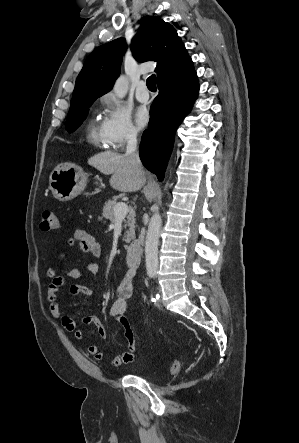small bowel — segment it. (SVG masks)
I'll list each match as a JSON object with an SVG mask.
<instances>
[{"mask_svg": "<svg viewBox=\"0 0 299 443\" xmlns=\"http://www.w3.org/2000/svg\"><path fill=\"white\" fill-rule=\"evenodd\" d=\"M65 244L70 247L77 246L83 253L91 254L94 258H98L101 255V247L95 237L81 228H76L72 235L66 240ZM58 257L61 259L64 257V255L59 252ZM87 270L93 275L98 274V266L94 261L88 262ZM136 272L137 268L128 265V270L118 284L116 299L110 308L111 318L122 326L125 338L128 342L127 350L123 354L110 360L111 365L115 367L131 363L135 359L136 344L131 341L127 335L125 320L127 319L126 313L128 308V300L133 294V284ZM47 276L51 279L47 291V299L49 302V310L51 315L61 322L65 330L73 332L77 341L84 342L86 338L84 330L77 327L76 322L71 316L61 311L60 304L57 300L58 292L66 280H81L85 276L84 272L81 269L72 268L62 275L59 273L56 266H51L47 270ZM69 293L73 296L84 295L89 299L94 300V291L85 285L72 284L69 287ZM81 322L84 325H94L97 329L98 335L102 339H106L108 337L107 330L98 317L88 315L83 317ZM88 352L97 361L105 362L107 359L97 345H90L88 347Z\"/></svg>", "mask_w": 299, "mask_h": 443, "instance_id": "1", "label": "small bowel"}]
</instances>
